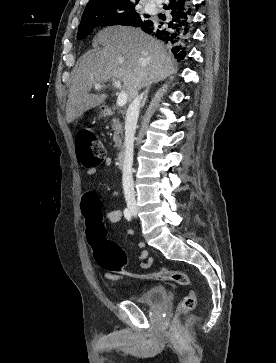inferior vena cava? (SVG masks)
<instances>
[{
    "label": "inferior vena cava",
    "mask_w": 276,
    "mask_h": 363,
    "mask_svg": "<svg viewBox=\"0 0 276 363\" xmlns=\"http://www.w3.org/2000/svg\"><path fill=\"white\" fill-rule=\"evenodd\" d=\"M142 95H136L129 104L125 117V157L122 170V184L127 206H136L132 176L134 135L139 117Z\"/></svg>",
    "instance_id": "1"
}]
</instances>
